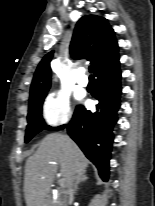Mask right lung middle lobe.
I'll use <instances>...</instances> for the list:
<instances>
[{"label": "right lung middle lobe", "mask_w": 155, "mask_h": 206, "mask_svg": "<svg viewBox=\"0 0 155 206\" xmlns=\"http://www.w3.org/2000/svg\"><path fill=\"white\" fill-rule=\"evenodd\" d=\"M48 89L30 97L29 109H28V125L26 129L25 142L27 143L33 138L42 128L52 130L50 126H44V120L42 118V104L46 97Z\"/></svg>", "instance_id": "right-lung-middle-lobe-1"}]
</instances>
